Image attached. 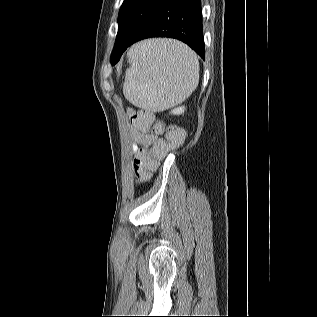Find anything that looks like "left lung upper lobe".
Instances as JSON below:
<instances>
[{"mask_svg":"<svg viewBox=\"0 0 317 317\" xmlns=\"http://www.w3.org/2000/svg\"><path fill=\"white\" fill-rule=\"evenodd\" d=\"M164 1L124 0L119 12L118 34L115 44H123L130 41Z\"/></svg>","mask_w":317,"mask_h":317,"instance_id":"obj_1","label":"left lung upper lobe"}]
</instances>
